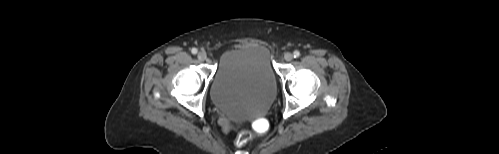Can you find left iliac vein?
Masks as SVG:
<instances>
[{
    "mask_svg": "<svg viewBox=\"0 0 499 154\" xmlns=\"http://www.w3.org/2000/svg\"><path fill=\"white\" fill-rule=\"evenodd\" d=\"M284 59H285L286 61H288V62H289V61H291V60L293 59V54H292V53H290V52L285 53V54H284Z\"/></svg>",
    "mask_w": 499,
    "mask_h": 154,
    "instance_id": "obj_1",
    "label": "left iliac vein"
}]
</instances>
